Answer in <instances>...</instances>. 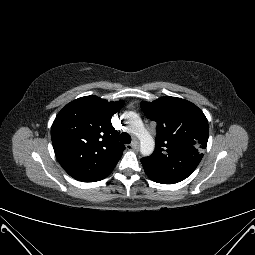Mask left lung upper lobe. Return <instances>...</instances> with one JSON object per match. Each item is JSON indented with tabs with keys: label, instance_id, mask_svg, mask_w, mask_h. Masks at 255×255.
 <instances>
[{
	"label": "left lung upper lobe",
	"instance_id": "5c2ea615",
	"mask_svg": "<svg viewBox=\"0 0 255 255\" xmlns=\"http://www.w3.org/2000/svg\"><path fill=\"white\" fill-rule=\"evenodd\" d=\"M141 109L157 122L155 151L141 159L147 176L161 184L184 180L207 147L209 127L204 113L193 103L171 96L142 102Z\"/></svg>",
	"mask_w": 255,
	"mask_h": 255
}]
</instances>
